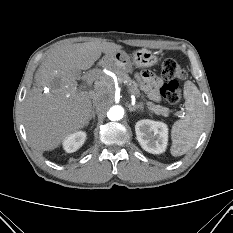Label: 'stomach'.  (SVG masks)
I'll return each mask as SVG.
<instances>
[{
	"label": "stomach",
	"mask_w": 233,
	"mask_h": 233,
	"mask_svg": "<svg viewBox=\"0 0 233 233\" xmlns=\"http://www.w3.org/2000/svg\"><path fill=\"white\" fill-rule=\"evenodd\" d=\"M157 61L158 58L155 53L148 49L137 50L132 55L127 54L125 51H119L103 58L106 65L123 72H130L133 66L148 68L155 65Z\"/></svg>",
	"instance_id": "stomach-1"
}]
</instances>
